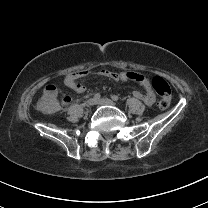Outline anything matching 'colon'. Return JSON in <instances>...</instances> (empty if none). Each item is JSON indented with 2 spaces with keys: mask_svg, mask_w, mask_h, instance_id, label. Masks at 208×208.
Returning a JSON list of instances; mask_svg holds the SVG:
<instances>
[{
  "mask_svg": "<svg viewBox=\"0 0 208 208\" xmlns=\"http://www.w3.org/2000/svg\"><path fill=\"white\" fill-rule=\"evenodd\" d=\"M153 89L158 94V107L162 110L169 108L172 101V91L168 82L161 76H156L151 80ZM43 95L37 101V108L46 114H53L57 110V103L55 99L59 96V89L55 85H48L43 88Z\"/></svg>",
  "mask_w": 208,
  "mask_h": 208,
  "instance_id": "obj_1",
  "label": "colon"
}]
</instances>
